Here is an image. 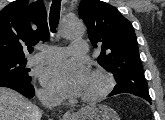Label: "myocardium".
<instances>
[{"instance_id": "obj_1", "label": "myocardium", "mask_w": 165, "mask_h": 120, "mask_svg": "<svg viewBox=\"0 0 165 120\" xmlns=\"http://www.w3.org/2000/svg\"><path fill=\"white\" fill-rule=\"evenodd\" d=\"M91 74L103 81V86L95 94L83 96L80 100L84 103H94L106 97L113 89L115 80L113 75L104 68H95Z\"/></svg>"}]
</instances>
